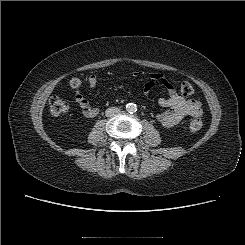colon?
Returning <instances> with one entry per match:
<instances>
[{
	"instance_id": "colon-1",
	"label": "colon",
	"mask_w": 245,
	"mask_h": 245,
	"mask_svg": "<svg viewBox=\"0 0 245 245\" xmlns=\"http://www.w3.org/2000/svg\"><path fill=\"white\" fill-rule=\"evenodd\" d=\"M68 86L71 90L79 91L82 88V79L78 76L71 77L68 81ZM180 91L184 96H190L194 92L193 86L189 82H183L180 86ZM70 103L67 99L60 96H52L49 100L50 111L54 115H60L68 111ZM203 126L200 118L193 119L189 124V131L192 133L198 132Z\"/></svg>"
}]
</instances>
